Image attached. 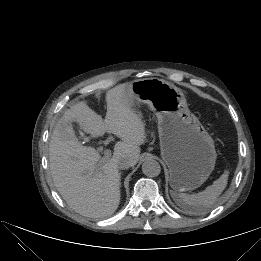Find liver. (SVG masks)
Listing matches in <instances>:
<instances>
[{
	"label": "liver",
	"mask_w": 261,
	"mask_h": 261,
	"mask_svg": "<svg viewBox=\"0 0 261 261\" xmlns=\"http://www.w3.org/2000/svg\"><path fill=\"white\" fill-rule=\"evenodd\" d=\"M131 83L120 84L106 92L105 120L86 101L68 109L57 122L49 145L51 176L66 203L77 213L92 218L113 214L120 203L118 161L125 157L134 166L146 132L142 114L126 98ZM72 122L92 137L112 133L122 141L115 144L113 156L101 159L95 148L82 145L71 136Z\"/></svg>",
	"instance_id": "6515ba94"
}]
</instances>
